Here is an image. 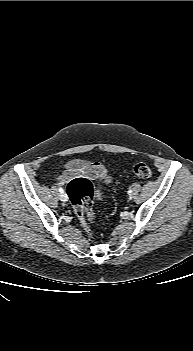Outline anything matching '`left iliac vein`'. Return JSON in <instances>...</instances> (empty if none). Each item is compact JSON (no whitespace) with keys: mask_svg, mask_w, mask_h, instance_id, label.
<instances>
[{"mask_svg":"<svg viewBox=\"0 0 193 351\" xmlns=\"http://www.w3.org/2000/svg\"><path fill=\"white\" fill-rule=\"evenodd\" d=\"M129 199H132V195L131 194L129 195Z\"/></svg>","mask_w":193,"mask_h":351,"instance_id":"4c4485c4","label":"left iliac vein"}]
</instances>
